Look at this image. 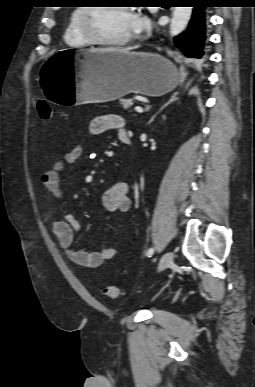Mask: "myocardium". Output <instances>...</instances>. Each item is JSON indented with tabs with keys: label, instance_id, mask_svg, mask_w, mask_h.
I'll use <instances>...</instances> for the list:
<instances>
[{
	"label": "myocardium",
	"instance_id": "myocardium-1",
	"mask_svg": "<svg viewBox=\"0 0 255 387\" xmlns=\"http://www.w3.org/2000/svg\"><path fill=\"white\" fill-rule=\"evenodd\" d=\"M119 8H122L130 13H132L131 9L126 7V6H116ZM101 7L97 6H86L85 8L82 9L80 17H79V27L82 32V34L92 43L96 45H102V46H111V47H119V46H124L128 43H130L134 36L129 35L123 39L119 40H109L100 37L93 26L92 23V17L94 13L100 9Z\"/></svg>",
	"mask_w": 255,
	"mask_h": 387
}]
</instances>
